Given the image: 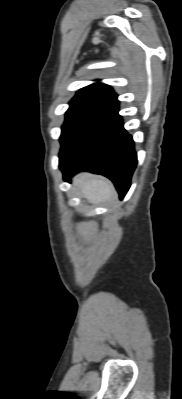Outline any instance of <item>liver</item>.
I'll list each match as a JSON object with an SVG mask.
<instances>
[{
    "label": "liver",
    "mask_w": 182,
    "mask_h": 399,
    "mask_svg": "<svg viewBox=\"0 0 182 399\" xmlns=\"http://www.w3.org/2000/svg\"><path fill=\"white\" fill-rule=\"evenodd\" d=\"M74 185L80 189L82 196L93 204L108 201L115 194L110 181L104 178L90 177L86 174L79 175Z\"/></svg>",
    "instance_id": "liver-1"
}]
</instances>
